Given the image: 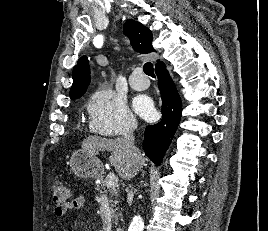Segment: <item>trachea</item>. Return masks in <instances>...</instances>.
I'll return each instance as SVG.
<instances>
[{
	"instance_id": "trachea-1",
	"label": "trachea",
	"mask_w": 268,
	"mask_h": 231,
	"mask_svg": "<svg viewBox=\"0 0 268 231\" xmlns=\"http://www.w3.org/2000/svg\"><path fill=\"white\" fill-rule=\"evenodd\" d=\"M143 70H144V73L146 75H149L151 77H155V74H154V69H153V64L150 63V62H147L144 67H143Z\"/></svg>"
}]
</instances>
